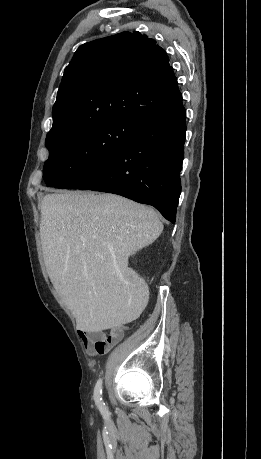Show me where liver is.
Instances as JSON below:
<instances>
[{"instance_id":"obj_1","label":"liver","mask_w":261,"mask_h":459,"mask_svg":"<svg viewBox=\"0 0 261 459\" xmlns=\"http://www.w3.org/2000/svg\"><path fill=\"white\" fill-rule=\"evenodd\" d=\"M162 231L152 208L119 195L67 191L44 196L40 238L45 266L78 328L101 332L131 320L141 281L128 258Z\"/></svg>"}]
</instances>
